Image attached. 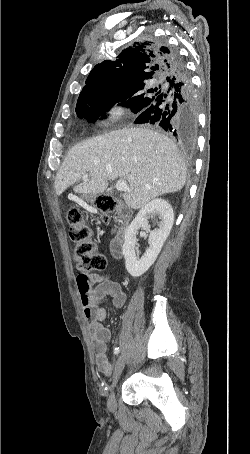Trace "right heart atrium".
<instances>
[{
    "label": "right heart atrium",
    "mask_w": 250,
    "mask_h": 454,
    "mask_svg": "<svg viewBox=\"0 0 250 454\" xmlns=\"http://www.w3.org/2000/svg\"><path fill=\"white\" fill-rule=\"evenodd\" d=\"M124 114V107L118 103H113L105 110L101 122L105 126H113L124 116Z\"/></svg>",
    "instance_id": "1"
}]
</instances>
